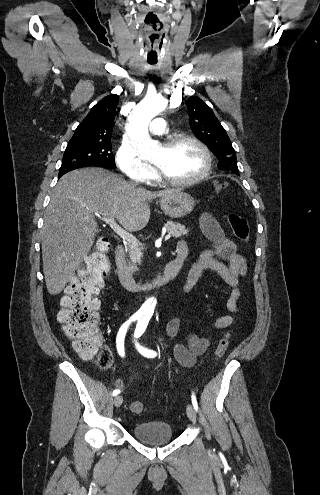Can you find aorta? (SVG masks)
<instances>
[{
  "mask_svg": "<svg viewBox=\"0 0 320 495\" xmlns=\"http://www.w3.org/2000/svg\"><path fill=\"white\" fill-rule=\"evenodd\" d=\"M167 100L158 96H146L134 107L128 116L127 131L136 153L143 159L152 158L159 150L156 141L150 138L148 126L150 121L166 109ZM155 302L147 300L142 309L148 314L154 312Z\"/></svg>",
  "mask_w": 320,
  "mask_h": 495,
  "instance_id": "obj_1",
  "label": "aorta"
}]
</instances>
